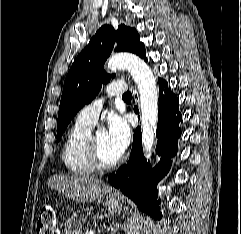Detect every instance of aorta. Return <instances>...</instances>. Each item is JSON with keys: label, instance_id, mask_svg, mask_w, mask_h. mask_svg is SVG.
<instances>
[{"label": "aorta", "instance_id": "762f6f07", "mask_svg": "<svg viewBox=\"0 0 241 234\" xmlns=\"http://www.w3.org/2000/svg\"><path fill=\"white\" fill-rule=\"evenodd\" d=\"M106 68L112 71L127 69L137 84L141 108L142 146L148 159L154 147L158 121V90L153 72L142 59L127 53L112 56Z\"/></svg>", "mask_w": 241, "mask_h": 234}]
</instances>
